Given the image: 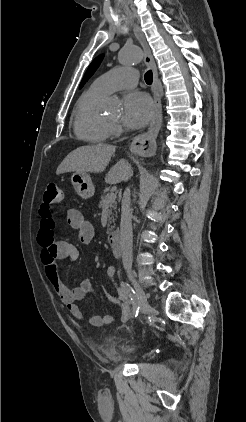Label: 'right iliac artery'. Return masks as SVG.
<instances>
[{
  "instance_id": "right-iliac-artery-1",
  "label": "right iliac artery",
  "mask_w": 246,
  "mask_h": 422,
  "mask_svg": "<svg viewBox=\"0 0 246 422\" xmlns=\"http://www.w3.org/2000/svg\"><path fill=\"white\" fill-rule=\"evenodd\" d=\"M121 289H122L123 292H125L129 296L131 303L133 305V316L136 317L138 315V312H139V309H140L139 306H138V296H137V294L131 288V286L126 282H121Z\"/></svg>"
}]
</instances>
